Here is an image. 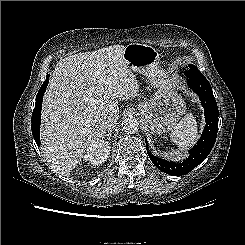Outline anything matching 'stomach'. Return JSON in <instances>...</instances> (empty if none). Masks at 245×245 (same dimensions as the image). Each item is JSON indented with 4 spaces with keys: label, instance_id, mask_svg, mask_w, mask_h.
Wrapping results in <instances>:
<instances>
[{
    "label": "stomach",
    "instance_id": "stomach-1",
    "mask_svg": "<svg viewBox=\"0 0 245 245\" xmlns=\"http://www.w3.org/2000/svg\"><path fill=\"white\" fill-rule=\"evenodd\" d=\"M123 58L130 70L144 75L156 93L138 105L137 111L152 133L171 131L185 114L186 104L178 92L177 81L158 68L160 56L149 45L132 43L125 47Z\"/></svg>",
    "mask_w": 245,
    "mask_h": 245
}]
</instances>
